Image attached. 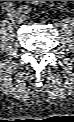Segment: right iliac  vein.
Instances as JSON below:
<instances>
[{
    "label": "right iliac vein",
    "mask_w": 74,
    "mask_h": 122,
    "mask_svg": "<svg viewBox=\"0 0 74 122\" xmlns=\"http://www.w3.org/2000/svg\"><path fill=\"white\" fill-rule=\"evenodd\" d=\"M10 17L11 18H16V19H18L19 18V14H17V13H12L11 15H10Z\"/></svg>",
    "instance_id": "obj_1"
}]
</instances>
